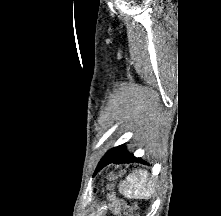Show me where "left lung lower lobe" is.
<instances>
[{
	"label": "left lung lower lobe",
	"mask_w": 221,
	"mask_h": 216,
	"mask_svg": "<svg viewBox=\"0 0 221 216\" xmlns=\"http://www.w3.org/2000/svg\"><path fill=\"white\" fill-rule=\"evenodd\" d=\"M130 162H142L145 163V161L141 160L140 158H136L134 155L128 153L126 151V148H124L121 152L118 153H106L104 157L99 162L95 174L100 171L103 167L108 165L109 163H130Z\"/></svg>",
	"instance_id": "obj_1"
}]
</instances>
